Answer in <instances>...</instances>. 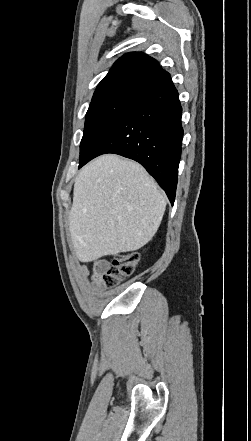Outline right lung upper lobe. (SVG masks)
I'll return each mask as SVG.
<instances>
[{"label": "right lung upper lobe", "instance_id": "right-lung-upper-lobe-1", "mask_svg": "<svg viewBox=\"0 0 251 441\" xmlns=\"http://www.w3.org/2000/svg\"><path fill=\"white\" fill-rule=\"evenodd\" d=\"M168 78L169 73L155 59L144 53H127L98 84L91 103L114 98L138 100Z\"/></svg>", "mask_w": 251, "mask_h": 441}]
</instances>
